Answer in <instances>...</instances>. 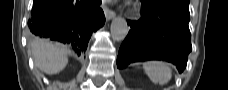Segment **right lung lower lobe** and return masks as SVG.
<instances>
[{
	"mask_svg": "<svg viewBox=\"0 0 228 90\" xmlns=\"http://www.w3.org/2000/svg\"><path fill=\"white\" fill-rule=\"evenodd\" d=\"M100 3L101 0H34L29 31L68 44L80 56L85 53L92 32L105 23Z\"/></svg>",
	"mask_w": 228,
	"mask_h": 90,
	"instance_id": "obj_1",
	"label": "right lung lower lobe"
}]
</instances>
